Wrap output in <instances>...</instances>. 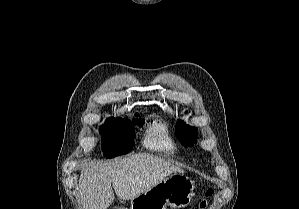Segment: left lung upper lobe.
Masks as SVG:
<instances>
[{
    "mask_svg": "<svg viewBox=\"0 0 299 209\" xmlns=\"http://www.w3.org/2000/svg\"><path fill=\"white\" fill-rule=\"evenodd\" d=\"M176 134L183 145L192 146L197 139V128L185 125L183 121H178Z\"/></svg>",
    "mask_w": 299,
    "mask_h": 209,
    "instance_id": "1",
    "label": "left lung upper lobe"
}]
</instances>
